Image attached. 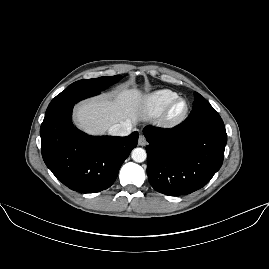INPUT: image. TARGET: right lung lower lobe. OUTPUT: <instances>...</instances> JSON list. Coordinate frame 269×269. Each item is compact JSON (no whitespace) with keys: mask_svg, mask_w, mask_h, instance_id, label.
<instances>
[{"mask_svg":"<svg viewBox=\"0 0 269 269\" xmlns=\"http://www.w3.org/2000/svg\"><path fill=\"white\" fill-rule=\"evenodd\" d=\"M99 93L65 89L50 102L40 128L45 164L60 182L81 193L109 188L139 136L135 131L126 137H94L74 127L75 103Z\"/></svg>","mask_w":269,"mask_h":269,"instance_id":"1","label":"right lung lower lobe"}]
</instances>
